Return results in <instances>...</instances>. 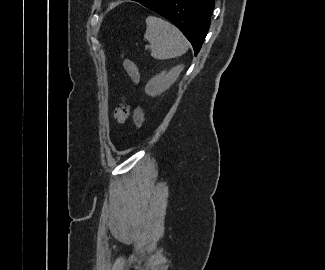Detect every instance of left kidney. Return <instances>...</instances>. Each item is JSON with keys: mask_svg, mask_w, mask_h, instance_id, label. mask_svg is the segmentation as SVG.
Wrapping results in <instances>:
<instances>
[{"mask_svg": "<svg viewBox=\"0 0 325 270\" xmlns=\"http://www.w3.org/2000/svg\"><path fill=\"white\" fill-rule=\"evenodd\" d=\"M183 70V65L173 67L169 72H161L149 80L145 92L150 96H157L170 88Z\"/></svg>", "mask_w": 325, "mask_h": 270, "instance_id": "1", "label": "left kidney"}]
</instances>
